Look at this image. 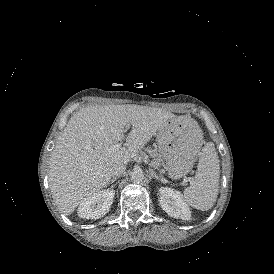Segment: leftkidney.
Wrapping results in <instances>:
<instances>
[{
	"label": "left kidney",
	"mask_w": 274,
	"mask_h": 274,
	"mask_svg": "<svg viewBox=\"0 0 274 274\" xmlns=\"http://www.w3.org/2000/svg\"><path fill=\"white\" fill-rule=\"evenodd\" d=\"M159 203L169 216L182 220L191 219L189 206L183 200L182 194L179 191L161 187L159 189Z\"/></svg>",
	"instance_id": "5707ae66"
}]
</instances>
